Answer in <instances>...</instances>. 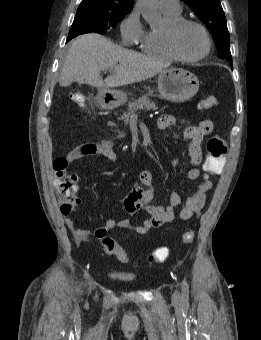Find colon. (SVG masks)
Returning <instances> with one entry per match:
<instances>
[{
    "instance_id": "5ec220e1",
    "label": "colon",
    "mask_w": 261,
    "mask_h": 340,
    "mask_svg": "<svg viewBox=\"0 0 261 340\" xmlns=\"http://www.w3.org/2000/svg\"><path fill=\"white\" fill-rule=\"evenodd\" d=\"M217 104L215 97H207L200 103L202 109H209ZM206 158L203 169L207 175L218 174L222 171L225 156L227 153L226 141L220 136H212L206 142ZM68 162L64 157H58L53 163L55 171L53 185L58 196L60 211L63 215H68L78 204L77 179L67 173ZM194 238L192 231H187L182 235L184 243H191ZM102 247L106 254L115 256L120 262L128 263L129 256L124 249L111 237L102 239ZM169 257L167 247L156 248L149 256L151 263H163Z\"/></svg>"
}]
</instances>
